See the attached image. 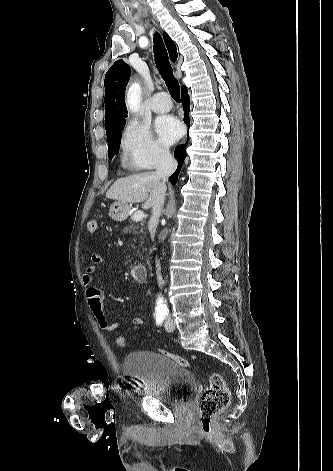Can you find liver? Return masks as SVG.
Instances as JSON below:
<instances>
[{
  "mask_svg": "<svg viewBox=\"0 0 333 471\" xmlns=\"http://www.w3.org/2000/svg\"><path fill=\"white\" fill-rule=\"evenodd\" d=\"M161 192V182L156 172H143L116 180L106 192V197L125 204L144 202L142 207L147 210L157 201Z\"/></svg>",
  "mask_w": 333,
  "mask_h": 471,
  "instance_id": "obj_1",
  "label": "liver"
}]
</instances>
